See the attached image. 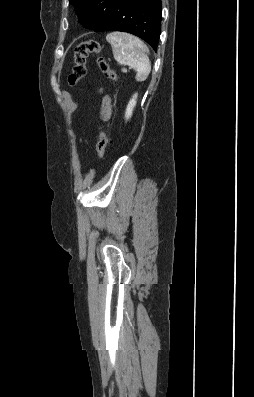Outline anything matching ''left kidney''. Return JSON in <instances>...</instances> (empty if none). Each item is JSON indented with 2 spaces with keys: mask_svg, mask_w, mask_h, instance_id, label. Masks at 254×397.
<instances>
[{
  "mask_svg": "<svg viewBox=\"0 0 254 397\" xmlns=\"http://www.w3.org/2000/svg\"><path fill=\"white\" fill-rule=\"evenodd\" d=\"M136 99H137V94H134L132 99L129 101L127 108H126V112H125V118L128 120L133 113V109L136 105Z\"/></svg>",
  "mask_w": 254,
  "mask_h": 397,
  "instance_id": "5707ae66",
  "label": "left kidney"
}]
</instances>
